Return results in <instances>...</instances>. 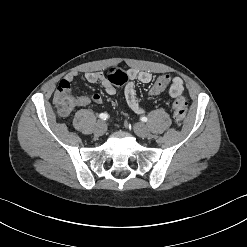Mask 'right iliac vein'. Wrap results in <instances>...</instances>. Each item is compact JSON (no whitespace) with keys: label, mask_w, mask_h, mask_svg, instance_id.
Masks as SVG:
<instances>
[{"label":"right iliac vein","mask_w":247,"mask_h":247,"mask_svg":"<svg viewBox=\"0 0 247 247\" xmlns=\"http://www.w3.org/2000/svg\"><path fill=\"white\" fill-rule=\"evenodd\" d=\"M107 130V125L104 121H99L96 123L95 128H94V133L97 136L103 135Z\"/></svg>","instance_id":"1"}]
</instances>
